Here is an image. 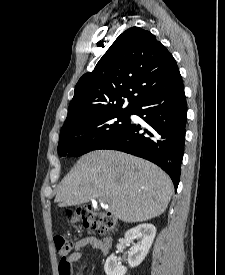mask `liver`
Wrapping results in <instances>:
<instances>
[{"label":"liver","instance_id":"liver-1","mask_svg":"<svg viewBox=\"0 0 225 275\" xmlns=\"http://www.w3.org/2000/svg\"><path fill=\"white\" fill-rule=\"evenodd\" d=\"M170 177L155 164L123 152L96 150L82 156L58 188L55 202L75 206L98 199L126 223L150 220L167 208Z\"/></svg>","mask_w":225,"mask_h":275}]
</instances>
